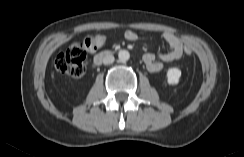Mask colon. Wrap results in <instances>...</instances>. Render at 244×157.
Instances as JSON below:
<instances>
[{
	"label": "colon",
	"mask_w": 244,
	"mask_h": 157,
	"mask_svg": "<svg viewBox=\"0 0 244 157\" xmlns=\"http://www.w3.org/2000/svg\"><path fill=\"white\" fill-rule=\"evenodd\" d=\"M107 37L103 34L87 36L82 43H76L60 54L55 61L58 72L73 78L81 77L85 72V58L87 51H95L106 43ZM184 53L190 55L192 49L186 45Z\"/></svg>",
	"instance_id": "obj_1"
}]
</instances>
